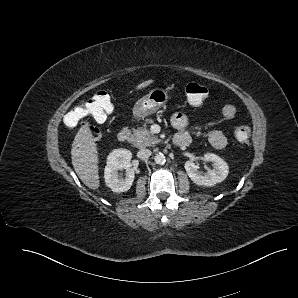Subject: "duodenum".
Returning a JSON list of instances; mask_svg holds the SVG:
<instances>
[{
	"mask_svg": "<svg viewBox=\"0 0 298 298\" xmlns=\"http://www.w3.org/2000/svg\"><path fill=\"white\" fill-rule=\"evenodd\" d=\"M117 138L122 143H127L130 141L131 132L128 128H123L119 131ZM191 143V137L183 132L177 133L173 137V144L177 147H186Z\"/></svg>",
	"mask_w": 298,
	"mask_h": 298,
	"instance_id": "obj_1",
	"label": "duodenum"
}]
</instances>
